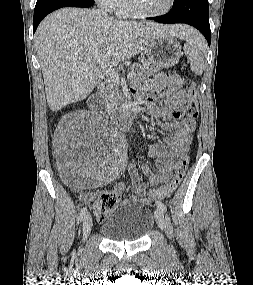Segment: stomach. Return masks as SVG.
Here are the masks:
<instances>
[{
    "mask_svg": "<svg viewBox=\"0 0 253 285\" xmlns=\"http://www.w3.org/2000/svg\"><path fill=\"white\" fill-rule=\"evenodd\" d=\"M143 51L151 65L162 68L176 65L182 56L180 44L170 35L152 39Z\"/></svg>",
    "mask_w": 253,
    "mask_h": 285,
    "instance_id": "obj_1",
    "label": "stomach"
}]
</instances>
